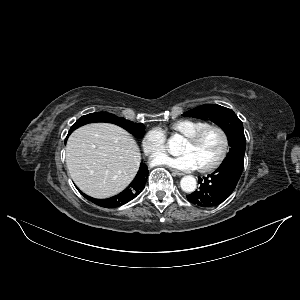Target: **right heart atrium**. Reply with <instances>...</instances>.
I'll use <instances>...</instances> for the list:
<instances>
[{
	"mask_svg": "<svg viewBox=\"0 0 300 300\" xmlns=\"http://www.w3.org/2000/svg\"><path fill=\"white\" fill-rule=\"evenodd\" d=\"M141 145L144 153L148 157L153 158L164 152L166 135L160 128L154 127L145 133Z\"/></svg>",
	"mask_w": 300,
	"mask_h": 300,
	"instance_id": "1",
	"label": "right heart atrium"
}]
</instances>
